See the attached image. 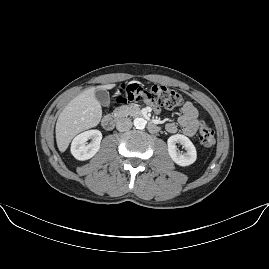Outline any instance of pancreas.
Segmentation results:
<instances>
[{"mask_svg": "<svg viewBox=\"0 0 269 269\" xmlns=\"http://www.w3.org/2000/svg\"><path fill=\"white\" fill-rule=\"evenodd\" d=\"M141 113L140 107L137 105H124L122 108H116L113 112V115L116 117H123L126 115L136 116Z\"/></svg>", "mask_w": 269, "mask_h": 269, "instance_id": "cf45deb5", "label": "pancreas"}]
</instances>
